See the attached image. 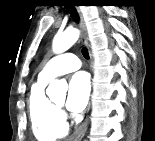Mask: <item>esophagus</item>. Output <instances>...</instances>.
<instances>
[{"label": "esophagus", "mask_w": 155, "mask_h": 141, "mask_svg": "<svg viewBox=\"0 0 155 141\" xmlns=\"http://www.w3.org/2000/svg\"><path fill=\"white\" fill-rule=\"evenodd\" d=\"M77 11L80 16V30H81L80 39L88 47L89 45H88L87 31H86L84 18L79 8H77ZM90 59L92 60L91 54H90ZM88 124H89V118H87L75 132V135H74L75 140H81L84 137L88 128Z\"/></svg>", "instance_id": "obj_1"}]
</instances>
